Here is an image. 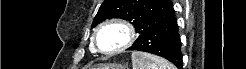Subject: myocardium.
Wrapping results in <instances>:
<instances>
[{"instance_id":"myocardium-1","label":"myocardium","mask_w":246,"mask_h":69,"mask_svg":"<svg viewBox=\"0 0 246 69\" xmlns=\"http://www.w3.org/2000/svg\"><path fill=\"white\" fill-rule=\"evenodd\" d=\"M108 26L121 27L126 33V38L123 41V43H121L115 49L110 50V51H102L100 46H99L97 37H98L99 32ZM134 39H135V31H134L133 25L129 21H127L125 19H121V18H112V19L106 20L105 22H103L102 24H100L96 28V30L94 31V34H93V43L101 54H114V53L120 52L122 50H125L129 46H131Z\"/></svg>"}]
</instances>
